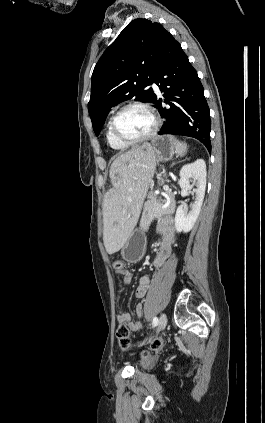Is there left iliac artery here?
Segmentation results:
<instances>
[{"label": "left iliac artery", "mask_w": 265, "mask_h": 423, "mask_svg": "<svg viewBox=\"0 0 265 423\" xmlns=\"http://www.w3.org/2000/svg\"><path fill=\"white\" fill-rule=\"evenodd\" d=\"M152 325H153V327L158 325V318L157 317L153 318Z\"/></svg>", "instance_id": "left-iliac-artery-1"}]
</instances>
